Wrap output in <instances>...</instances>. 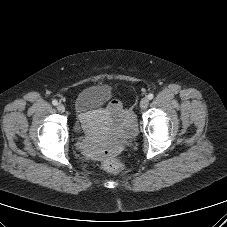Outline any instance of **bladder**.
<instances>
[{"instance_id":"1","label":"bladder","mask_w":227,"mask_h":227,"mask_svg":"<svg viewBox=\"0 0 227 227\" xmlns=\"http://www.w3.org/2000/svg\"><path fill=\"white\" fill-rule=\"evenodd\" d=\"M112 96L107 85H93L81 90L75 99L74 130L81 132L91 128L103 115L102 106Z\"/></svg>"}]
</instances>
